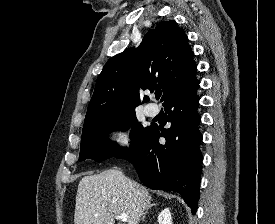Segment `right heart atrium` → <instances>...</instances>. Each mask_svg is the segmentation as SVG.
Segmentation results:
<instances>
[{
    "instance_id": "obj_1",
    "label": "right heart atrium",
    "mask_w": 275,
    "mask_h": 224,
    "mask_svg": "<svg viewBox=\"0 0 275 224\" xmlns=\"http://www.w3.org/2000/svg\"><path fill=\"white\" fill-rule=\"evenodd\" d=\"M111 139L116 145L120 147H125L128 145V137L125 131L122 129H117L111 133Z\"/></svg>"
}]
</instances>
